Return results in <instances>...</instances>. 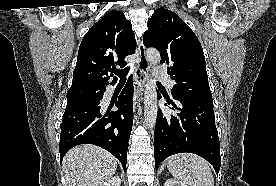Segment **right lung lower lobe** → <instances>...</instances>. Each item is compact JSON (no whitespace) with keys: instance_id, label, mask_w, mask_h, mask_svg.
<instances>
[{"instance_id":"98d812e1","label":"right lung lower lobe","mask_w":276,"mask_h":186,"mask_svg":"<svg viewBox=\"0 0 276 186\" xmlns=\"http://www.w3.org/2000/svg\"><path fill=\"white\" fill-rule=\"evenodd\" d=\"M102 97L76 105L66 106L61 123L60 162L74 146L94 144L114 155L126 171L128 141L133 125V76L112 105L118 110L102 113Z\"/></svg>"}]
</instances>
